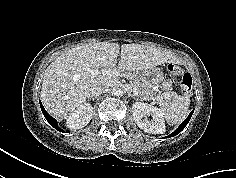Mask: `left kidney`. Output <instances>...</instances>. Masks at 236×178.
Instances as JSON below:
<instances>
[{
    "label": "left kidney",
    "mask_w": 236,
    "mask_h": 178,
    "mask_svg": "<svg viewBox=\"0 0 236 178\" xmlns=\"http://www.w3.org/2000/svg\"><path fill=\"white\" fill-rule=\"evenodd\" d=\"M132 110L133 118L140 129L152 134H163L165 132V123L160 109L147 103L135 102ZM150 115L152 121L147 118Z\"/></svg>",
    "instance_id": "5707ae66"
}]
</instances>
